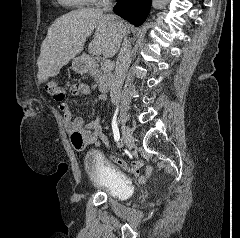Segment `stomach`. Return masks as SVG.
I'll use <instances>...</instances> for the list:
<instances>
[{
	"label": "stomach",
	"instance_id": "1",
	"mask_svg": "<svg viewBox=\"0 0 240 238\" xmlns=\"http://www.w3.org/2000/svg\"><path fill=\"white\" fill-rule=\"evenodd\" d=\"M72 67L77 73H84L88 70V64L82 58H74Z\"/></svg>",
	"mask_w": 240,
	"mask_h": 238
}]
</instances>
